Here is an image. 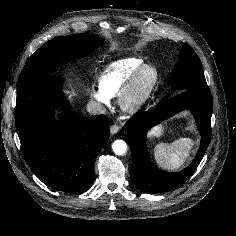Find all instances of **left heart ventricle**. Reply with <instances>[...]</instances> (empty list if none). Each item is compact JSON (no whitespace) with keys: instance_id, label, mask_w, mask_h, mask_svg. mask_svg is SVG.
I'll return each mask as SVG.
<instances>
[{"instance_id":"left-heart-ventricle-1","label":"left heart ventricle","mask_w":236,"mask_h":236,"mask_svg":"<svg viewBox=\"0 0 236 236\" xmlns=\"http://www.w3.org/2000/svg\"><path fill=\"white\" fill-rule=\"evenodd\" d=\"M151 78H152L151 71L144 72L138 82V90L139 91L145 90L147 88V86L149 85Z\"/></svg>"}]
</instances>
